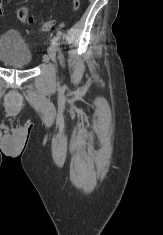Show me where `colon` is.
<instances>
[{"label": "colon", "instance_id": "colon-1", "mask_svg": "<svg viewBox=\"0 0 163 235\" xmlns=\"http://www.w3.org/2000/svg\"><path fill=\"white\" fill-rule=\"evenodd\" d=\"M71 6L73 10H78L80 7V0H71ZM3 14V5L0 0V16ZM17 18L27 24H32L34 22L33 17L30 15L29 10L25 7H21L16 11ZM54 26L53 20L45 21L41 24V29L44 31L50 30Z\"/></svg>", "mask_w": 163, "mask_h": 235}]
</instances>
